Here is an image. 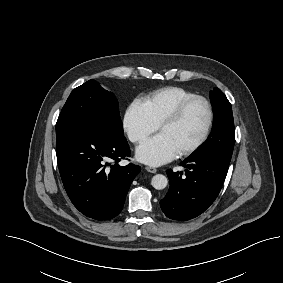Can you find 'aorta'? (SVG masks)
Returning <instances> with one entry per match:
<instances>
[{
  "label": "aorta",
  "instance_id": "1",
  "mask_svg": "<svg viewBox=\"0 0 283 283\" xmlns=\"http://www.w3.org/2000/svg\"><path fill=\"white\" fill-rule=\"evenodd\" d=\"M151 184L155 189L162 190L167 186L168 179L162 174H156L152 177Z\"/></svg>",
  "mask_w": 283,
  "mask_h": 283
}]
</instances>
